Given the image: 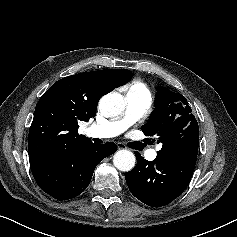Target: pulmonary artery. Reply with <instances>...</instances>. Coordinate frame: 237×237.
<instances>
[{
	"label": "pulmonary artery",
	"mask_w": 237,
	"mask_h": 237,
	"mask_svg": "<svg viewBox=\"0 0 237 237\" xmlns=\"http://www.w3.org/2000/svg\"><path fill=\"white\" fill-rule=\"evenodd\" d=\"M125 100L126 110L123 117L104 124L92 125L87 129V134L92 138H112L122 134L143 116L152 101L149 94H139L132 91L126 94ZM157 150L147 152V159L154 160L157 156Z\"/></svg>",
	"instance_id": "e3ab8cb5"
}]
</instances>
